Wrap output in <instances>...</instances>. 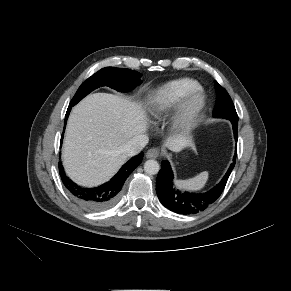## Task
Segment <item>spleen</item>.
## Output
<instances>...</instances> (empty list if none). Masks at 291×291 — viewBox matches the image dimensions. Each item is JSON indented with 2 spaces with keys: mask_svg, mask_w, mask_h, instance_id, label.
<instances>
[{
  "mask_svg": "<svg viewBox=\"0 0 291 291\" xmlns=\"http://www.w3.org/2000/svg\"><path fill=\"white\" fill-rule=\"evenodd\" d=\"M207 180L208 172L204 171L193 178L187 180H179L176 182V184L183 189L196 191L202 189L206 184Z\"/></svg>",
  "mask_w": 291,
  "mask_h": 291,
  "instance_id": "3e777b00",
  "label": "spleen"
}]
</instances>
